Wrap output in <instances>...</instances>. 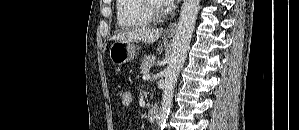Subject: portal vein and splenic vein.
<instances>
[{"mask_svg": "<svg viewBox=\"0 0 299 130\" xmlns=\"http://www.w3.org/2000/svg\"><path fill=\"white\" fill-rule=\"evenodd\" d=\"M150 79V75L149 74H144L143 75V80H149Z\"/></svg>", "mask_w": 299, "mask_h": 130, "instance_id": "1", "label": "portal vein and splenic vein"}]
</instances>
